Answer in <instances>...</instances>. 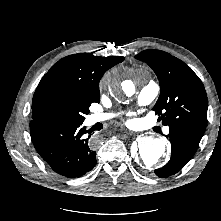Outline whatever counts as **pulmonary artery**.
I'll return each instance as SVG.
<instances>
[{"mask_svg": "<svg viewBox=\"0 0 221 221\" xmlns=\"http://www.w3.org/2000/svg\"><path fill=\"white\" fill-rule=\"evenodd\" d=\"M158 93H159V85L154 81H150L141 89L139 93V97H138L139 104L141 105L150 104L156 98ZM110 117H111V114L95 113L90 116V122L93 124L96 122L107 120ZM164 133L165 134L169 133L168 127L164 128Z\"/></svg>", "mask_w": 221, "mask_h": 221, "instance_id": "e3ab8cb5", "label": "pulmonary artery"}]
</instances>
